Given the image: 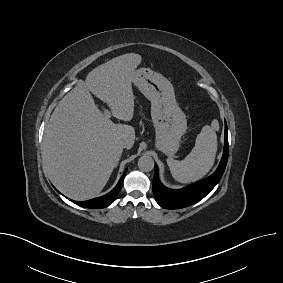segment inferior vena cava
<instances>
[{
  "mask_svg": "<svg viewBox=\"0 0 283 283\" xmlns=\"http://www.w3.org/2000/svg\"><path fill=\"white\" fill-rule=\"evenodd\" d=\"M120 147H121V148H127V143H126L125 141H122V142L120 143Z\"/></svg>",
  "mask_w": 283,
  "mask_h": 283,
  "instance_id": "602c4592",
  "label": "inferior vena cava"
}]
</instances>
